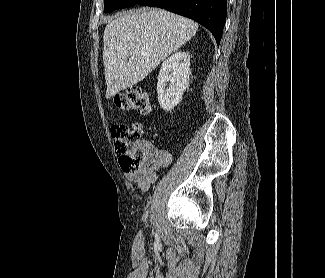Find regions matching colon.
<instances>
[{"mask_svg": "<svg viewBox=\"0 0 325 278\" xmlns=\"http://www.w3.org/2000/svg\"><path fill=\"white\" fill-rule=\"evenodd\" d=\"M114 104L123 112L136 111L141 115L151 112L149 97L139 88L118 93L114 97ZM111 134L122 168L128 172L139 170L150 154L149 145L142 140L141 127L116 124L112 126Z\"/></svg>", "mask_w": 325, "mask_h": 278, "instance_id": "obj_1", "label": "colon"}]
</instances>
